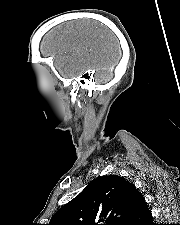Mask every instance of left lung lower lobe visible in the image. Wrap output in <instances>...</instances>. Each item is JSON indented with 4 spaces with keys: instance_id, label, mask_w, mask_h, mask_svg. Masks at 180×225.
I'll return each instance as SVG.
<instances>
[{
    "instance_id": "left-lung-lower-lobe-1",
    "label": "left lung lower lobe",
    "mask_w": 180,
    "mask_h": 225,
    "mask_svg": "<svg viewBox=\"0 0 180 225\" xmlns=\"http://www.w3.org/2000/svg\"><path fill=\"white\" fill-rule=\"evenodd\" d=\"M124 225H155L152 221V214L148 206L132 216Z\"/></svg>"
}]
</instances>
